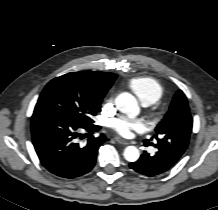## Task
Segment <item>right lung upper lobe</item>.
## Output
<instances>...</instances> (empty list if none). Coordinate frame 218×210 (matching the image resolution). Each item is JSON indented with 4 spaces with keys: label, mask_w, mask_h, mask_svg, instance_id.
<instances>
[{
    "label": "right lung upper lobe",
    "mask_w": 218,
    "mask_h": 210,
    "mask_svg": "<svg viewBox=\"0 0 218 210\" xmlns=\"http://www.w3.org/2000/svg\"><path fill=\"white\" fill-rule=\"evenodd\" d=\"M116 77L114 73L81 71L67 73L57 78L83 93L102 99Z\"/></svg>",
    "instance_id": "1"
}]
</instances>
